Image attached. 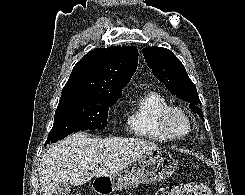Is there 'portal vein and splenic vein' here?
<instances>
[{"mask_svg":"<svg viewBox=\"0 0 245 195\" xmlns=\"http://www.w3.org/2000/svg\"><path fill=\"white\" fill-rule=\"evenodd\" d=\"M97 166L96 165H92L89 167L90 170H94Z\"/></svg>","mask_w":245,"mask_h":195,"instance_id":"obj_1","label":"portal vein and splenic vein"}]
</instances>
